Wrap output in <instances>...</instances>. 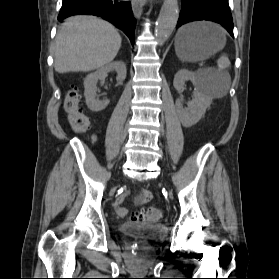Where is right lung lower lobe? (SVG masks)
<instances>
[{
	"label": "right lung lower lobe",
	"instance_id": "98d812e1",
	"mask_svg": "<svg viewBox=\"0 0 279 279\" xmlns=\"http://www.w3.org/2000/svg\"><path fill=\"white\" fill-rule=\"evenodd\" d=\"M89 14L100 16L123 30L134 44L136 20L131 3L122 0H63L58 20L76 15Z\"/></svg>",
	"mask_w": 279,
	"mask_h": 279
}]
</instances>
